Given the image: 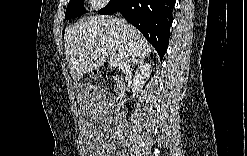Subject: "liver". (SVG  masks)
I'll list each match as a JSON object with an SVG mask.
<instances>
[{
    "label": "liver",
    "mask_w": 247,
    "mask_h": 156,
    "mask_svg": "<svg viewBox=\"0 0 247 156\" xmlns=\"http://www.w3.org/2000/svg\"><path fill=\"white\" fill-rule=\"evenodd\" d=\"M124 23L128 26L126 33L122 27ZM64 41L68 68L74 81L99 69L106 58L116 61L121 69L129 50L135 57L148 56L152 51L135 27L125 20L121 23L115 17L104 15L91 16L68 27Z\"/></svg>",
    "instance_id": "obj_1"
}]
</instances>
